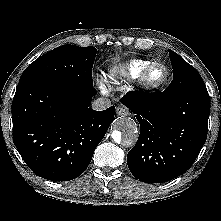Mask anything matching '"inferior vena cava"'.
I'll return each mask as SVG.
<instances>
[{
  "mask_svg": "<svg viewBox=\"0 0 221 221\" xmlns=\"http://www.w3.org/2000/svg\"><path fill=\"white\" fill-rule=\"evenodd\" d=\"M111 106V101L108 98H98L92 102V109L101 111L109 108Z\"/></svg>",
  "mask_w": 221,
  "mask_h": 221,
  "instance_id": "inferior-vena-cava-1",
  "label": "inferior vena cava"
}]
</instances>
